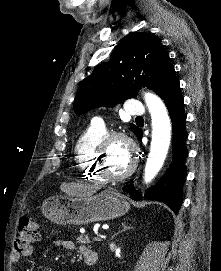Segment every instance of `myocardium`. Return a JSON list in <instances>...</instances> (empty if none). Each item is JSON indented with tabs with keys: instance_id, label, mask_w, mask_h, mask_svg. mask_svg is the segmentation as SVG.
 <instances>
[{
	"instance_id": "obj_1",
	"label": "myocardium",
	"mask_w": 221,
	"mask_h": 271,
	"mask_svg": "<svg viewBox=\"0 0 221 271\" xmlns=\"http://www.w3.org/2000/svg\"><path fill=\"white\" fill-rule=\"evenodd\" d=\"M109 137H103L101 145H98V152L94 156V164H96L95 172H98L102 178H128L132 175V170H138L136 157L130 158V169L125 170L124 173H107L108 165H105L103 156L108 153L109 145H115L118 142H123L122 150H129V155H138V146L131 137V133H108Z\"/></svg>"
}]
</instances>
